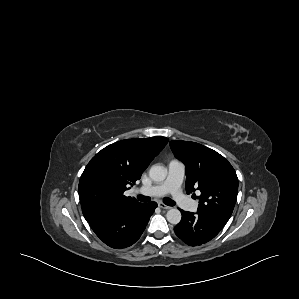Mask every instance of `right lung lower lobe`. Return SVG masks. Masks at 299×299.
Masks as SVG:
<instances>
[{
	"mask_svg": "<svg viewBox=\"0 0 299 299\" xmlns=\"http://www.w3.org/2000/svg\"><path fill=\"white\" fill-rule=\"evenodd\" d=\"M156 207L155 202H134L86 220L105 244L122 249L140 238Z\"/></svg>",
	"mask_w": 299,
	"mask_h": 299,
	"instance_id": "98d812e1",
	"label": "right lung lower lobe"
}]
</instances>
